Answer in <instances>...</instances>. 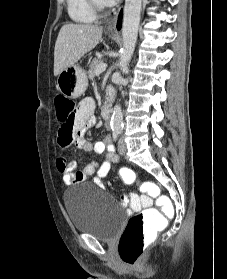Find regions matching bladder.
I'll use <instances>...</instances> for the list:
<instances>
[{"label":"bladder","mask_w":227,"mask_h":279,"mask_svg":"<svg viewBox=\"0 0 227 279\" xmlns=\"http://www.w3.org/2000/svg\"><path fill=\"white\" fill-rule=\"evenodd\" d=\"M63 202L72 226L100 241L115 239L124 223L121 204L103 196L94 187L78 185L65 190Z\"/></svg>","instance_id":"obj_1"}]
</instances>
